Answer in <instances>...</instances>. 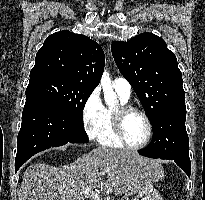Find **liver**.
I'll list each match as a JSON object with an SVG mask.
<instances>
[{
    "label": "liver",
    "mask_w": 205,
    "mask_h": 200,
    "mask_svg": "<svg viewBox=\"0 0 205 200\" xmlns=\"http://www.w3.org/2000/svg\"><path fill=\"white\" fill-rule=\"evenodd\" d=\"M159 161L135 152L98 147L61 167L45 163L30 165L17 191L19 200H82L83 188L105 194L131 196L141 186L160 179ZM162 168V167H161ZM108 170L107 178L102 171Z\"/></svg>",
    "instance_id": "obj_1"
}]
</instances>
